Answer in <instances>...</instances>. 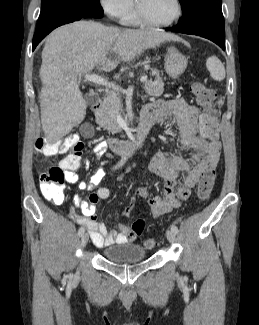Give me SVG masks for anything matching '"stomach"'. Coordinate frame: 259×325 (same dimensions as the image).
I'll use <instances>...</instances> for the list:
<instances>
[{"instance_id": "1", "label": "stomach", "mask_w": 259, "mask_h": 325, "mask_svg": "<svg viewBox=\"0 0 259 325\" xmlns=\"http://www.w3.org/2000/svg\"><path fill=\"white\" fill-rule=\"evenodd\" d=\"M187 67V59L174 46L167 48L165 71L173 79L178 78Z\"/></svg>"}]
</instances>
